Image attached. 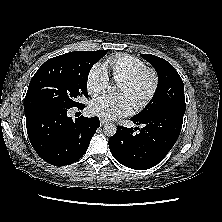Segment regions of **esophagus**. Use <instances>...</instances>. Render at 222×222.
Here are the masks:
<instances>
[{"instance_id": "obj_1", "label": "esophagus", "mask_w": 222, "mask_h": 222, "mask_svg": "<svg viewBox=\"0 0 222 222\" xmlns=\"http://www.w3.org/2000/svg\"><path fill=\"white\" fill-rule=\"evenodd\" d=\"M105 124H107V121L101 120V125H105Z\"/></svg>"}]
</instances>
